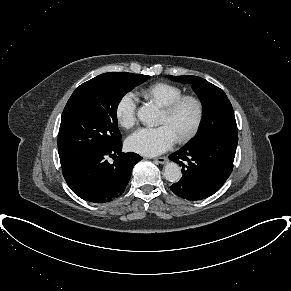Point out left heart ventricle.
<instances>
[{"label": "left heart ventricle", "instance_id": "b2bd125f", "mask_svg": "<svg viewBox=\"0 0 291 291\" xmlns=\"http://www.w3.org/2000/svg\"><path fill=\"white\" fill-rule=\"evenodd\" d=\"M196 116V109L193 103H184L178 111L168 116L162 111L161 118L159 121L160 125H167L176 138L184 135L192 126Z\"/></svg>", "mask_w": 291, "mask_h": 291}]
</instances>
